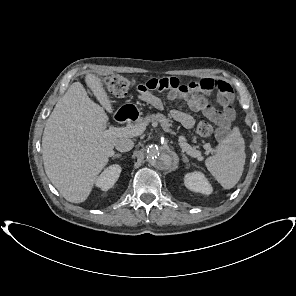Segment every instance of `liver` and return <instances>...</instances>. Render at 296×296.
I'll use <instances>...</instances> for the list:
<instances>
[{"instance_id": "1", "label": "liver", "mask_w": 296, "mask_h": 296, "mask_svg": "<svg viewBox=\"0 0 296 296\" xmlns=\"http://www.w3.org/2000/svg\"><path fill=\"white\" fill-rule=\"evenodd\" d=\"M87 86L102 107L93 102L83 85L74 82L59 99L47 119L42 154L45 172L54 187L69 202H84L114 154L118 139L106 134L113 112L111 100L98 76L87 74Z\"/></svg>"}]
</instances>
